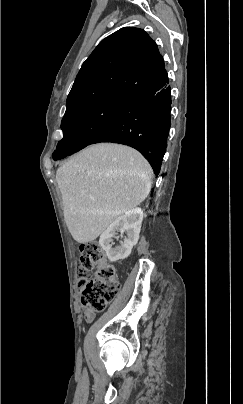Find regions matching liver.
Returning a JSON list of instances; mask_svg holds the SVG:
<instances>
[{
	"mask_svg": "<svg viewBox=\"0 0 243 404\" xmlns=\"http://www.w3.org/2000/svg\"><path fill=\"white\" fill-rule=\"evenodd\" d=\"M151 174L137 150L120 144H93L60 166L56 180L75 242H93L118 216L144 202Z\"/></svg>",
	"mask_w": 243,
	"mask_h": 404,
	"instance_id": "6515ba94",
	"label": "liver"
}]
</instances>
